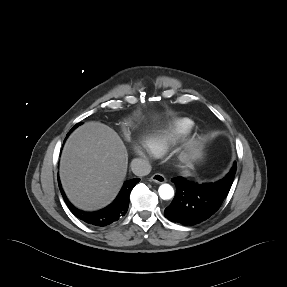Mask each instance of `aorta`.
I'll list each match as a JSON object with an SVG mask.
<instances>
[{
    "instance_id": "obj_1",
    "label": "aorta",
    "mask_w": 287,
    "mask_h": 287,
    "mask_svg": "<svg viewBox=\"0 0 287 287\" xmlns=\"http://www.w3.org/2000/svg\"><path fill=\"white\" fill-rule=\"evenodd\" d=\"M158 193L161 199L169 200L174 196V189L170 184H162L158 189Z\"/></svg>"
}]
</instances>
